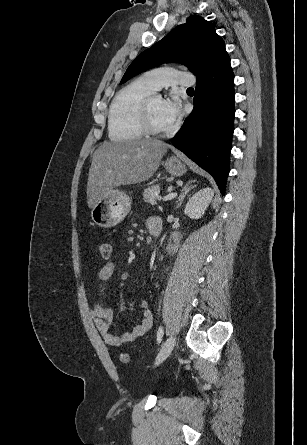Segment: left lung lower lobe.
<instances>
[{"instance_id": "obj_1", "label": "left lung lower lobe", "mask_w": 307, "mask_h": 445, "mask_svg": "<svg viewBox=\"0 0 307 445\" xmlns=\"http://www.w3.org/2000/svg\"><path fill=\"white\" fill-rule=\"evenodd\" d=\"M234 75L227 55L197 77L194 109L172 144L215 179L224 195L234 131Z\"/></svg>"}]
</instances>
